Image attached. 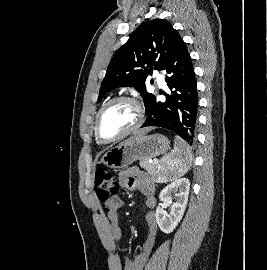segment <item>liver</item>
I'll return each instance as SVG.
<instances>
[{"instance_id": "1", "label": "liver", "mask_w": 267, "mask_h": 270, "mask_svg": "<svg viewBox=\"0 0 267 270\" xmlns=\"http://www.w3.org/2000/svg\"><path fill=\"white\" fill-rule=\"evenodd\" d=\"M151 130V128H144V129H141L139 131H137L134 136L130 137L128 140L125 141L126 142H132L138 138H140L141 136L145 135L146 133H148L149 131Z\"/></svg>"}]
</instances>
